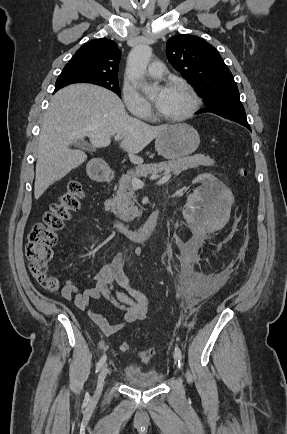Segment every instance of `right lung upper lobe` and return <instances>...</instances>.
<instances>
[{"instance_id":"1","label":"right lung upper lobe","mask_w":287,"mask_h":434,"mask_svg":"<svg viewBox=\"0 0 287 434\" xmlns=\"http://www.w3.org/2000/svg\"><path fill=\"white\" fill-rule=\"evenodd\" d=\"M121 52L117 44L107 38L92 40L82 46L65 69L79 70L96 76L117 77ZM62 87H55L54 92Z\"/></svg>"}]
</instances>
